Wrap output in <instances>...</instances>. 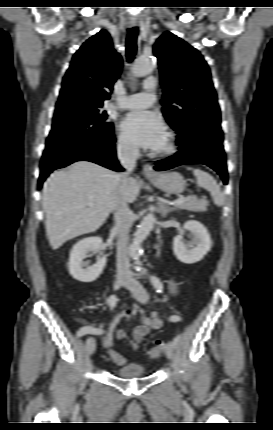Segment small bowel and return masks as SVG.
Returning a JSON list of instances; mask_svg holds the SVG:
<instances>
[{"mask_svg": "<svg viewBox=\"0 0 273 430\" xmlns=\"http://www.w3.org/2000/svg\"><path fill=\"white\" fill-rule=\"evenodd\" d=\"M169 293L176 294L177 293V283L175 280L171 279L168 283ZM168 296H164L161 301H167ZM124 317H127V310L123 309L117 322L102 336L101 345L105 349L110 352L114 350V341L113 337H116L123 342L128 343L132 349L136 350L139 348L143 339L149 334L151 330L159 329L162 326V321L158 313H152L150 317H141V323L134 328L133 331V340H129L126 335L125 330L121 326V321ZM99 331H103L101 326H93V325H84L82 326L77 334L78 336L93 334V335H102V333H98ZM116 352V351H115Z\"/></svg>", "mask_w": 273, "mask_h": 430, "instance_id": "1", "label": "small bowel"}]
</instances>
